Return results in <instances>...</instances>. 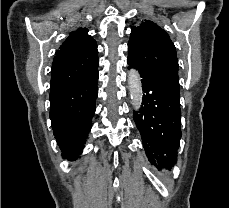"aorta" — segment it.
Wrapping results in <instances>:
<instances>
[{"label":"aorta","instance_id":"762f6f07","mask_svg":"<svg viewBox=\"0 0 229 208\" xmlns=\"http://www.w3.org/2000/svg\"><path fill=\"white\" fill-rule=\"evenodd\" d=\"M128 87L132 105L137 111L141 108L143 91L140 74L135 69L128 73Z\"/></svg>","mask_w":229,"mask_h":208}]
</instances>
